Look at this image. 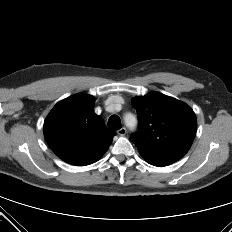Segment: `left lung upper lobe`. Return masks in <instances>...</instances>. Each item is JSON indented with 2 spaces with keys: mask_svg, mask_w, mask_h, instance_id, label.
Returning a JSON list of instances; mask_svg holds the SVG:
<instances>
[{
  "mask_svg": "<svg viewBox=\"0 0 232 232\" xmlns=\"http://www.w3.org/2000/svg\"><path fill=\"white\" fill-rule=\"evenodd\" d=\"M132 104L140 129L132 134V140L148 163H174L188 152L195 138L197 120L186 103L151 92L133 98Z\"/></svg>",
  "mask_w": 232,
  "mask_h": 232,
  "instance_id": "5c2ea615",
  "label": "left lung upper lobe"
}]
</instances>
